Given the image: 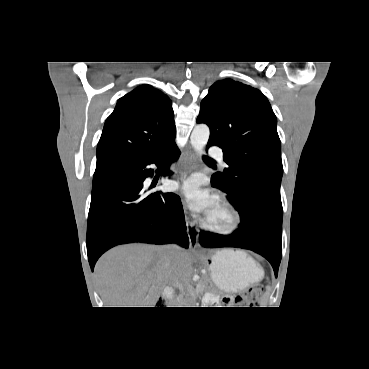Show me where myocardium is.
Segmentation results:
<instances>
[{"mask_svg":"<svg viewBox=\"0 0 369 369\" xmlns=\"http://www.w3.org/2000/svg\"><path fill=\"white\" fill-rule=\"evenodd\" d=\"M215 201V204L228 215V223L224 226H219L211 223L205 216L201 221L203 228L217 235L233 234L240 226L241 216L239 211L232 203L222 196L216 197Z\"/></svg>","mask_w":369,"mask_h":369,"instance_id":"f54148a6","label":"myocardium"}]
</instances>
